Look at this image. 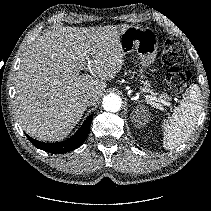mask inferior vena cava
<instances>
[{
	"label": "inferior vena cava",
	"instance_id": "1",
	"mask_svg": "<svg viewBox=\"0 0 211 211\" xmlns=\"http://www.w3.org/2000/svg\"><path fill=\"white\" fill-rule=\"evenodd\" d=\"M93 96L90 94H85L81 97V101L85 104V105H91L93 103Z\"/></svg>",
	"mask_w": 211,
	"mask_h": 211
}]
</instances>
